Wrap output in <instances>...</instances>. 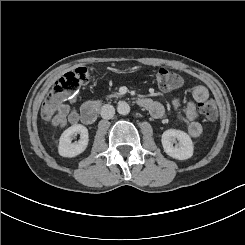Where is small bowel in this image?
Here are the masks:
<instances>
[{
  "instance_id": "obj_1",
  "label": "small bowel",
  "mask_w": 245,
  "mask_h": 245,
  "mask_svg": "<svg viewBox=\"0 0 245 245\" xmlns=\"http://www.w3.org/2000/svg\"><path fill=\"white\" fill-rule=\"evenodd\" d=\"M209 97V92L206 87L197 85L192 92V96L188 98L182 105L179 99L173 101V105L178 112V116L186 123V131L191 137H198L202 132V126L199 122L196 103H201ZM151 106L147 107L151 115L155 118H160L164 113V108L161 103L152 101ZM71 101V100H70ZM79 114L67 102L62 103L57 115L53 118V125L63 128L68 123L75 124L79 121Z\"/></svg>"
}]
</instances>
